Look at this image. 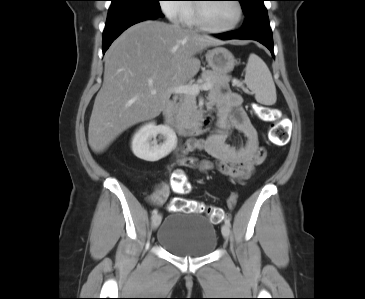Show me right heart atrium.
<instances>
[{
    "instance_id": "d8ad5b80",
    "label": "right heart atrium",
    "mask_w": 365,
    "mask_h": 299,
    "mask_svg": "<svg viewBox=\"0 0 365 299\" xmlns=\"http://www.w3.org/2000/svg\"><path fill=\"white\" fill-rule=\"evenodd\" d=\"M160 7L163 13L173 22L182 21L187 10V6L179 3L178 0H161Z\"/></svg>"
}]
</instances>
